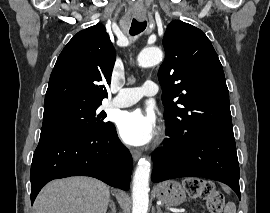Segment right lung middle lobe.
I'll use <instances>...</instances> for the list:
<instances>
[{"instance_id": "right-lung-middle-lobe-1", "label": "right lung middle lobe", "mask_w": 270, "mask_h": 213, "mask_svg": "<svg viewBox=\"0 0 270 213\" xmlns=\"http://www.w3.org/2000/svg\"><path fill=\"white\" fill-rule=\"evenodd\" d=\"M101 103L62 101L44 107L43 131H61L75 134H98L111 122L104 121L106 113L99 112Z\"/></svg>"}]
</instances>
